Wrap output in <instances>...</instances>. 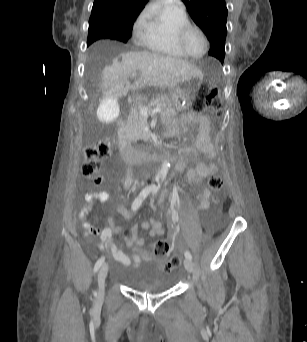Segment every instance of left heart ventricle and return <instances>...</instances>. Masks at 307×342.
<instances>
[{"label":"left heart ventricle","mask_w":307,"mask_h":342,"mask_svg":"<svg viewBox=\"0 0 307 342\" xmlns=\"http://www.w3.org/2000/svg\"><path fill=\"white\" fill-rule=\"evenodd\" d=\"M186 48L194 57H200L205 49L203 36L198 28L189 31L186 37Z\"/></svg>","instance_id":"obj_1"}]
</instances>
